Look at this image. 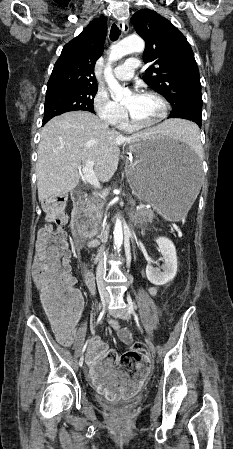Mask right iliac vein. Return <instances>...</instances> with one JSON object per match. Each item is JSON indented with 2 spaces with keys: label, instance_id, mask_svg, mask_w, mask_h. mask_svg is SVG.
Instances as JSON below:
<instances>
[{
  "label": "right iliac vein",
  "instance_id": "63e3f726",
  "mask_svg": "<svg viewBox=\"0 0 233 449\" xmlns=\"http://www.w3.org/2000/svg\"><path fill=\"white\" fill-rule=\"evenodd\" d=\"M101 301H102L101 307L104 308V307L107 305V303H108V298L105 297V296H103V297L101 298ZM83 363H84V358H83V356H82V357L80 358V360H79V366H82Z\"/></svg>",
  "mask_w": 233,
  "mask_h": 449
}]
</instances>
